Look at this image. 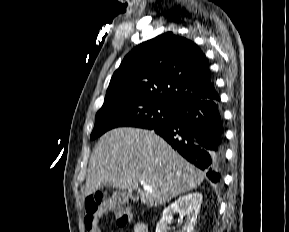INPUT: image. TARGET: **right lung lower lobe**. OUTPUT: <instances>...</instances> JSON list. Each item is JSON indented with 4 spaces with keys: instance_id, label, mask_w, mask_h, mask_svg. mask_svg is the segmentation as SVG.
Segmentation results:
<instances>
[{
    "instance_id": "obj_1",
    "label": "right lung lower lobe",
    "mask_w": 289,
    "mask_h": 232,
    "mask_svg": "<svg viewBox=\"0 0 289 232\" xmlns=\"http://www.w3.org/2000/svg\"><path fill=\"white\" fill-rule=\"evenodd\" d=\"M219 96L191 101L176 109L175 118L153 128L185 159L217 183L224 162V132Z\"/></svg>"
}]
</instances>
